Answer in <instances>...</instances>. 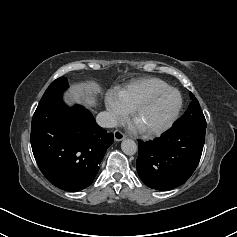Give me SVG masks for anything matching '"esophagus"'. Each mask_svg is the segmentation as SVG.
Instances as JSON below:
<instances>
[{"instance_id": "obj_1", "label": "esophagus", "mask_w": 237, "mask_h": 237, "mask_svg": "<svg viewBox=\"0 0 237 237\" xmlns=\"http://www.w3.org/2000/svg\"><path fill=\"white\" fill-rule=\"evenodd\" d=\"M125 138V135L120 130L114 131V139L115 141H121Z\"/></svg>"}]
</instances>
